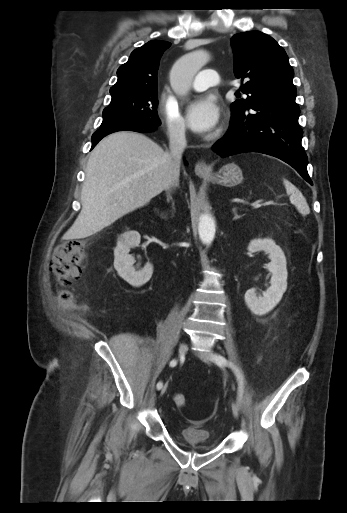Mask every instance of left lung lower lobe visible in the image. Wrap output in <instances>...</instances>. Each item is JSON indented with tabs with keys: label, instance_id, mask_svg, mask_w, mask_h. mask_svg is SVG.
<instances>
[{
	"label": "left lung lower lobe",
	"instance_id": "obj_1",
	"mask_svg": "<svg viewBox=\"0 0 347 513\" xmlns=\"http://www.w3.org/2000/svg\"><path fill=\"white\" fill-rule=\"evenodd\" d=\"M296 103L267 101L232 112L227 134L213 148L221 157L259 152L291 165L312 185L307 172V156L301 145L303 132L298 124Z\"/></svg>",
	"mask_w": 347,
	"mask_h": 513
}]
</instances>
